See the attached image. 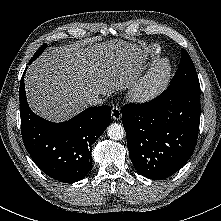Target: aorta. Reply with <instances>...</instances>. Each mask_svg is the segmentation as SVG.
<instances>
[{
	"mask_svg": "<svg viewBox=\"0 0 221 221\" xmlns=\"http://www.w3.org/2000/svg\"><path fill=\"white\" fill-rule=\"evenodd\" d=\"M107 135L112 140H121L125 135V131L121 124L112 123L107 128Z\"/></svg>",
	"mask_w": 221,
	"mask_h": 221,
	"instance_id": "1",
	"label": "aorta"
}]
</instances>
